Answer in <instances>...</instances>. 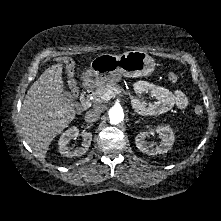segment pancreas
<instances>
[{"instance_id": "1", "label": "pancreas", "mask_w": 221, "mask_h": 221, "mask_svg": "<svg viewBox=\"0 0 221 221\" xmlns=\"http://www.w3.org/2000/svg\"><path fill=\"white\" fill-rule=\"evenodd\" d=\"M107 91H113L115 94H120V93H126L127 95H129V97L131 99H134V96H132L130 94V92H125L124 89L117 85L116 83H109L103 86H99L93 93V102L94 104H99L102 103L104 101H107L108 99L105 97V93ZM141 98V97H139ZM141 100L143 101V98H141ZM144 104H146L145 102H143Z\"/></svg>"}]
</instances>
